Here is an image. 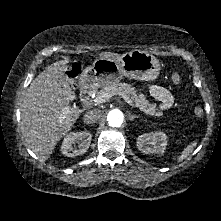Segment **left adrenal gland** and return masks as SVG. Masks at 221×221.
<instances>
[{
  "label": "left adrenal gland",
  "instance_id": "1",
  "mask_svg": "<svg viewBox=\"0 0 221 221\" xmlns=\"http://www.w3.org/2000/svg\"><path fill=\"white\" fill-rule=\"evenodd\" d=\"M128 118H129L130 121H133L136 118H139V116L138 115H131L130 113H128Z\"/></svg>",
  "mask_w": 221,
  "mask_h": 221
}]
</instances>
